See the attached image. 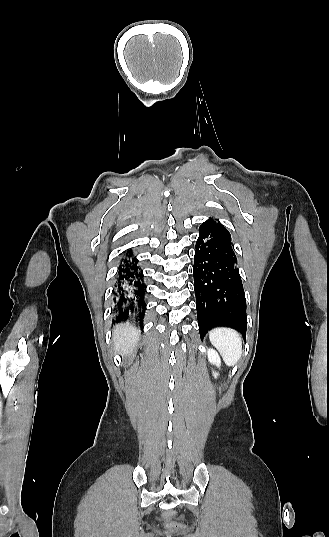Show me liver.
Returning a JSON list of instances; mask_svg holds the SVG:
<instances>
[{"mask_svg": "<svg viewBox=\"0 0 329 537\" xmlns=\"http://www.w3.org/2000/svg\"><path fill=\"white\" fill-rule=\"evenodd\" d=\"M140 331L129 323L117 325L113 331L115 350L124 357L132 353L139 340Z\"/></svg>", "mask_w": 329, "mask_h": 537, "instance_id": "obj_1", "label": "liver"}]
</instances>
